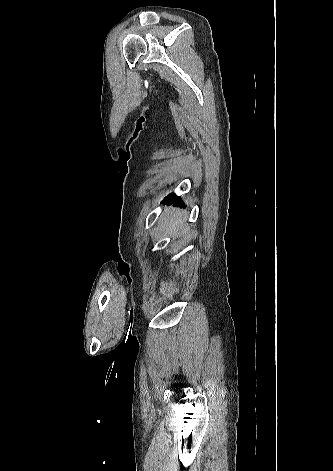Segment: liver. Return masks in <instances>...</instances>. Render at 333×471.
<instances>
[{"label": "liver", "instance_id": "liver-1", "mask_svg": "<svg viewBox=\"0 0 333 471\" xmlns=\"http://www.w3.org/2000/svg\"><path fill=\"white\" fill-rule=\"evenodd\" d=\"M183 224V219L177 215H171V218L167 220V229L169 231H178L181 229V226Z\"/></svg>", "mask_w": 333, "mask_h": 471}]
</instances>
